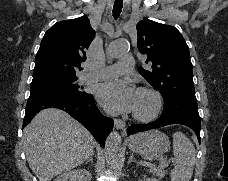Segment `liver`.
Instances as JSON below:
<instances>
[{
	"label": "liver",
	"mask_w": 228,
	"mask_h": 181,
	"mask_svg": "<svg viewBox=\"0 0 228 181\" xmlns=\"http://www.w3.org/2000/svg\"><path fill=\"white\" fill-rule=\"evenodd\" d=\"M28 165L39 181H52L94 155L92 135L68 113L44 109L24 129Z\"/></svg>",
	"instance_id": "obj_1"
}]
</instances>
